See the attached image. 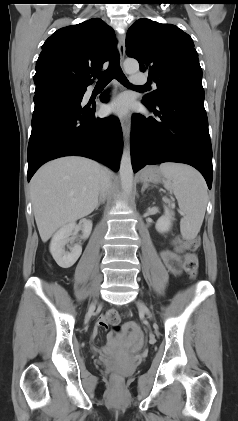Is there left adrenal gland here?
I'll list each match as a JSON object with an SVG mask.
<instances>
[{
  "mask_svg": "<svg viewBox=\"0 0 238 421\" xmlns=\"http://www.w3.org/2000/svg\"><path fill=\"white\" fill-rule=\"evenodd\" d=\"M148 188V184L147 183H143V186L141 188V193L143 194V192L145 191V189Z\"/></svg>",
  "mask_w": 238,
  "mask_h": 421,
  "instance_id": "a2214340",
  "label": "left adrenal gland"
}]
</instances>
